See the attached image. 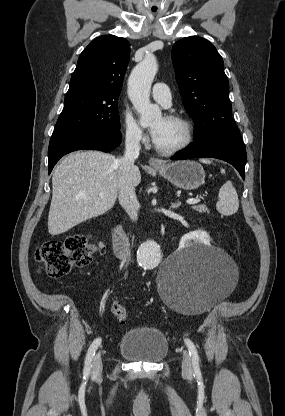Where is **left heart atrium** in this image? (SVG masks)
I'll list each match as a JSON object with an SVG mask.
<instances>
[{
    "label": "left heart atrium",
    "mask_w": 285,
    "mask_h": 416,
    "mask_svg": "<svg viewBox=\"0 0 285 416\" xmlns=\"http://www.w3.org/2000/svg\"><path fill=\"white\" fill-rule=\"evenodd\" d=\"M162 128H163L162 123H158L156 125H153L150 128V134H151V137H152V139L155 143H157L159 141L160 137H161Z\"/></svg>",
    "instance_id": "1"
}]
</instances>
